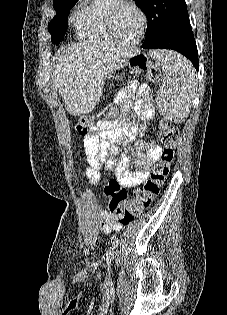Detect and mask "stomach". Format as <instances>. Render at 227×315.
Masks as SVG:
<instances>
[{
	"mask_svg": "<svg viewBox=\"0 0 227 315\" xmlns=\"http://www.w3.org/2000/svg\"><path fill=\"white\" fill-rule=\"evenodd\" d=\"M100 85L105 87V89H108V87H111L112 82H111V80H103L102 82H100Z\"/></svg>",
	"mask_w": 227,
	"mask_h": 315,
	"instance_id": "stomach-1",
	"label": "stomach"
}]
</instances>
